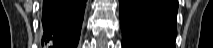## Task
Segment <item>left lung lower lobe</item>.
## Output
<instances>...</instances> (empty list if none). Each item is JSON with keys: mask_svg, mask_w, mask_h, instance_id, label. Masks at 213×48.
I'll return each mask as SVG.
<instances>
[{"mask_svg": "<svg viewBox=\"0 0 213 48\" xmlns=\"http://www.w3.org/2000/svg\"><path fill=\"white\" fill-rule=\"evenodd\" d=\"M178 0H119L123 48H175Z\"/></svg>", "mask_w": 213, "mask_h": 48, "instance_id": "1", "label": "left lung lower lobe"}]
</instances>
